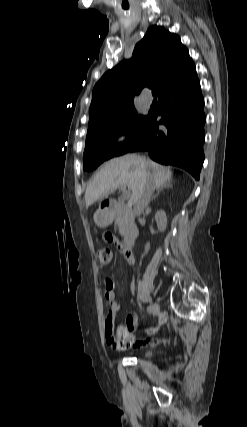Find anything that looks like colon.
Instances as JSON below:
<instances>
[{
    "label": "colon",
    "mask_w": 247,
    "mask_h": 427,
    "mask_svg": "<svg viewBox=\"0 0 247 427\" xmlns=\"http://www.w3.org/2000/svg\"><path fill=\"white\" fill-rule=\"evenodd\" d=\"M96 259L98 263L104 267L108 265L112 259V251L109 248H102L96 252ZM106 336L109 338L111 345L116 350H126L133 345V340L129 335V330L125 328H119L114 333L113 325L109 324L106 328Z\"/></svg>",
    "instance_id": "obj_1"
}]
</instances>
